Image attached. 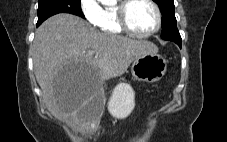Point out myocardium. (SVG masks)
<instances>
[{
  "mask_svg": "<svg viewBox=\"0 0 227 142\" xmlns=\"http://www.w3.org/2000/svg\"><path fill=\"white\" fill-rule=\"evenodd\" d=\"M134 1L135 0H121L120 1L118 6L116 7L118 23H119L120 27L123 29V31H125L126 33H128L132 36L139 37V38L151 37L152 35L156 34L162 26L161 9L155 0H146L154 8L156 17H157V22H156V26L151 31L146 32V33H140V32L135 31L131 27V25L129 23V19H128L129 8Z\"/></svg>",
  "mask_w": 227,
  "mask_h": 142,
  "instance_id": "f54148a6",
  "label": "myocardium"
}]
</instances>
